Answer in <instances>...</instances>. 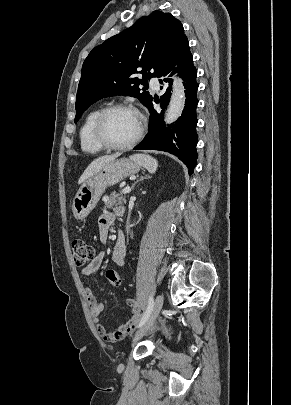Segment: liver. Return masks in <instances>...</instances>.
<instances>
[{
  "mask_svg": "<svg viewBox=\"0 0 291 405\" xmlns=\"http://www.w3.org/2000/svg\"><path fill=\"white\" fill-rule=\"evenodd\" d=\"M119 154H113L110 156H102L100 158H97L94 160L83 172L82 176L80 177L78 183L82 184L84 183L88 178L96 174L101 168L106 165L107 163L115 160Z\"/></svg>",
  "mask_w": 291,
  "mask_h": 405,
  "instance_id": "obj_1",
  "label": "liver"
}]
</instances>
